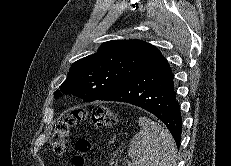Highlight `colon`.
<instances>
[{"instance_id":"obj_1","label":"colon","mask_w":231,"mask_h":166,"mask_svg":"<svg viewBox=\"0 0 231 166\" xmlns=\"http://www.w3.org/2000/svg\"><path fill=\"white\" fill-rule=\"evenodd\" d=\"M93 124L96 127H106L113 125L116 121L114 111L106 105H94L90 109ZM88 116L85 109H75L65 115L55 126L51 145L57 155H62L66 151L67 142L71 129L74 125ZM77 153L72 158L73 166H86L88 155L92 151V143L88 138H81L76 144Z\"/></svg>"}]
</instances>
